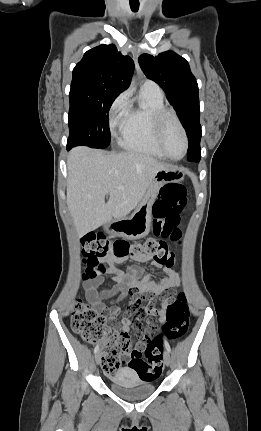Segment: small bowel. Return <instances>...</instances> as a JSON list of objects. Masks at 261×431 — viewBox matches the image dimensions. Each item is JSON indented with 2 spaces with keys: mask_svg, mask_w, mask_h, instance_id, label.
<instances>
[{
  "mask_svg": "<svg viewBox=\"0 0 261 431\" xmlns=\"http://www.w3.org/2000/svg\"><path fill=\"white\" fill-rule=\"evenodd\" d=\"M136 260L150 262L155 268H163L164 275L156 279L150 272L138 266H132L124 273L113 260L108 259L103 273L92 274L88 269L85 270L83 289L91 308L98 314L104 313V317L111 319L114 324L115 319L120 316L119 308H108L104 300L108 299V302H111L109 298L116 297L117 300H122L126 296L128 310L124 313L125 317L120 320L118 327L121 332L128 333L132 322L131 327H134L136 339L139 340L135 349L140 351L151 341L155 331L153 320L148 316L157 317L159 322H164L166 319V303L162 301L159 306L156 303L159 295L178 287L181 279L179 272L172 269L173 265L160 264L149 256ZM106 275H111L116 284L109 289L99 290Z\"/></svg>",
  "mask_w": 261,
  "mask_h": 431,
  "instance_id": "small-bowel-1",
  "label": "small bowel"
}]
</instances>
